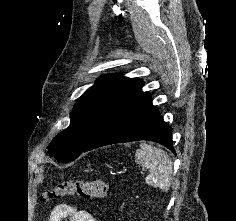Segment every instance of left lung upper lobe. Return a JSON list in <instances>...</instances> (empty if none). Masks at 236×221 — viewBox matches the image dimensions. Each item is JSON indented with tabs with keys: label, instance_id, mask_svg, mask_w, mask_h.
I'll return each mask as SVG.
<instances>
[{
	"label": "left lung upper lobe",
	"instance_id": "5c2ea615",
	"mask_svg": "<svg viewBox=\"0 0 236 221\" xmlns=\"http://www.w3.org/2000/svg\"><path fill=\"white\" fill-rule=\"evenodd\" d=\"M143 85V81L119 74L103 75L77 101L67 129L53 138L49 154L60 162L74 160L89 144L105 119L130 95Z\"/></svg>",
	"mask_w": 236,
	"mask_h": 221
}]
</instances>
